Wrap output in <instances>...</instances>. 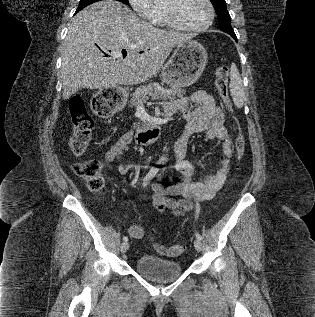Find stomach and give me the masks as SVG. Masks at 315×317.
I'll return each mask as SVG.
<instances>
[{
	"label": "stomach",
	"instance_id": "0dacf381",
	"mask_svg": "<svg viewBox=\"0 0 315 317\" xmlns=\"http://www.w3.org/2000/svg\"><path fill=\"white\" fill-rule=\"evenodd\" d=\"M208 55L205 48L195 40H188L176 46L171 58L164 65L161 76L163 82L171 87H187L195 83L202 75L207 64ZM103 95H118V88H103ZM129 103L128 97H119L110 102L112 111L124 108Z\"/></svg>",
	"mask_w": 315,
	"mask_h": 317
}]
</instances>
